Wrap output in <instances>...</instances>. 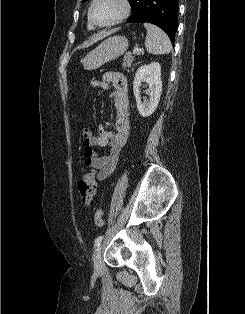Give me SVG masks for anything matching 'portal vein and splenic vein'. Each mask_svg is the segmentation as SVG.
I'll return each mask as SVG.
<instances>
[{
	"mask_svg": "<svg viewBox=\"0 0 245 314\" xmlns=\"http://www.w3.org/2000/svg\"><path fill=\"white\" fill-rule=\"evenodd\" d=\"M138 52H139V47L136 45L134 46L132 53L135 55V54H138Z\"/></svg>",
	"mask_w": 245,
	"mask_h": 314,
	"instance_id": "portal-vein-and-splenic-vein-1",
	"label": "portal vein and splenic vein"
}]
</instances>
